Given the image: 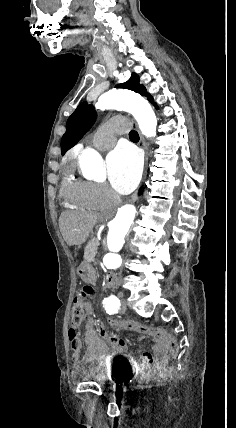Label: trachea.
Masks as SVG:
<instances>
[{"instance_id":"3493384b","label":"trachea","mask_w":236,"mask_h":428,"mask_svg":"<svg viewBox=\"0 0 236 428\" xmlns=\"http://www.w3.org/2000/svg\"><path fill=\"white\" fill-rule=\"evenodd\" d=\"M129 137L131 140H139L138 132L135 130L130 131Z\"/></svg>"}]
</instances>
